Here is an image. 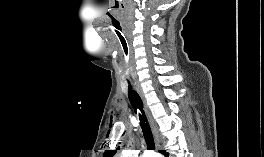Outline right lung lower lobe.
Here are the masks:
<instances>
[{"label": "right lung lower lobe", "mask_w": 264, "mask_h": 157, "mask_svg": "<svg viewBox=\"0 0 264 157\" xmlns=\"http://www.w3.org/2000/svg\"><path fill=\"white\" fill-rule=\"evenodd\" d=\"M161 153H162L165 157H168V154L165 153V151H161Z\"/></svg>", "instance_id": "obj_1"}]
</instances>
